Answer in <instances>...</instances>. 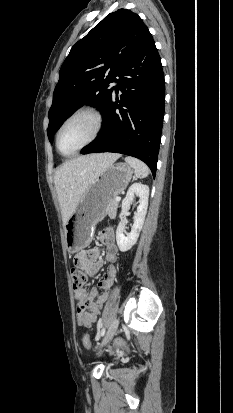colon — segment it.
Wrapping results in <instances>:
<instances>
[{
  "label": "colon",
  "instance_id": "colon-1",
  "mask_svg": "<svg viewBox=\"0 0 233 413\" xmlns=\"http://www.w3.org/2000/svg\"><path fill=\"white\" fill-rule=\"evenodd\" d=\"M77 266V265H76ZM71 277H72V284L73 288L75 291L81 290L82 287L85 285L87 277L86 274L81 271L78 266L75 268H72L71 270ZM82 343L83 346L86 349H91L92 348V343H91V338L89 334H85L82 338ZM117 346L122 349H126V344L123 341H119L117 343Z\"/></svg>",
  "mask_w": 233,
  "mask_h": 413
}]
</instances>
